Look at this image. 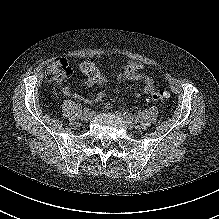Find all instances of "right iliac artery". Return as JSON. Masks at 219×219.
<instances>
[{"instance_id": "obj_1", "label": "right iliac artery", "mask_w": 219, "mask_h": 219, "mask_svg": "<svg viewBox=\"0 0 219 219\" xmlns=\"http://www.w3.org/2000/svg\"><path fill=\"white\" fill-rule=\"evenodd\" d=\"M89 111H90V109L87 108V107H85V108L83 109V112H84V113H89Z\"/></svg>"}]
</instances>
